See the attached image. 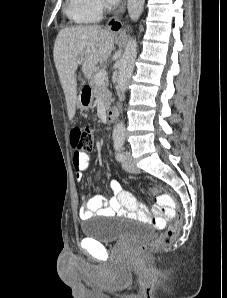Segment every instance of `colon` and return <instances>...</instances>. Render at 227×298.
Segmentation results:
<instances>
[{
    "label": "colon",
    "instance_id": "obj_1",
    "mask_svg": "<svg viewBox=\"0 0 227 298\" xmlns=\"http://www.w3.org/2000/svg\"><path fill=\"white\" fill-rule=\"evenodd\" d=\"M70 140L74 150H86V152H89L92 150L94 144L93 131L88 126H75L71 130ZM159 193V187H153V189H149V194ZM158 199L160 206L158 207L157 212H163L165 218L170 219L172 222L157 239L144 243L139 247V253L142 255L170 245L178 236L182 226V214L176 208L172 197L167 193H162L159 194ZM150 222L155 227H163L164 225V219L159 216L151 218Z\"/></svg>",
    "mask_w": 227,
    "mask_h": 298
}]
</instances>
